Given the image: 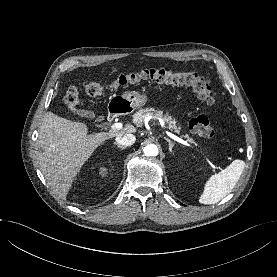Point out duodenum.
I'll use <instances>...</instances> for the list:
<instances>
[{
	"mask_svg": "<svg viewBox=\"0 0 277 277\" xmlns=\"http://www.w3.org/2000/svg\"><path fill=\"white\" fill-rule=\"evenodd\" d=\"M117 114V111L116 110H111L109 113H108V120L111 121L114 119V117L116 116Z\"/></svg>",
	"mask_w": 277,
	"mask_h": 277,
	"instance_id": "obj_1",
	"label": "duodenum"
}]
</instances>
